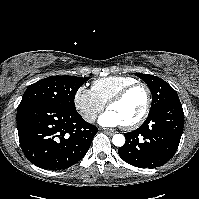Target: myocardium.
Segmentation results:
<instances>
[{"mask_svg":"<svg viewBox=\"0 0 199 199\" xmlns=\"http://www.w3.org/2000/svg\"><path fill=\"white\" fill-rule=\"evenodd\" d=\"M137 87H141L142 89H144V91L146 93L145 107H144V110H143L142 114L135 121H133V122H131L129 124H123V127L125 129L136 128L139 125H141L145 121V119L147 118V116H148V114L150 112V109H151V105H152V94H151V90H150L149 86L146 83H144V82L135 81V82H133L131 84H128L124 88H122L107 103V109H109L110 106L121 102L131 90H133V89H135Z\"/></svg>","mask_w":199,"mask_h":199,"instance_id":"obj_1","label":"myocardium"}]
</instances>
